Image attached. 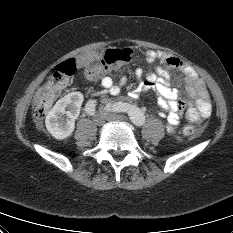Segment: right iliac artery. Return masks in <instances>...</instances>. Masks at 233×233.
<instances>
[{
  "label": "right iliac artery",
  "instance_id": "right-iliac-artery-1",
  "mask_svg": "<svg viewBox=\"0 0 233 233\" xmlns=\"http://www.w3.org/2000/svg\"><path fill=\"white\" fill-rule=\"evenodd\" d=\"M95 108H96V101L95 100H90V101L87 102V104L85 106V111L89 115H94Z\"/></svg>",
  "mask_w": 233,
  "mask_h": 233
}]
</instances>
